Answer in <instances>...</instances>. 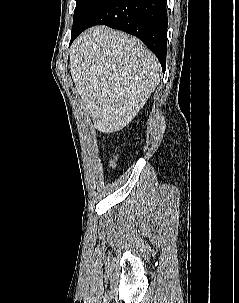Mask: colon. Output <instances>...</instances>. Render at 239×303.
<instances>
[{
  "instance_id": "colon-1",
  "label": "colon",
  "mask_w": 239,
  "mask_h": 303,
  "mask_svg": "<svg viewBox=\"0 0 239 303\" xmlns=\"http://www.w3.org/2000/svg\"><path fill=\"white\" fill-rule=\"evenodd\" d=\"M109 167H110V168L115 167V160L110 161Z\"/></svg>"
}]
</instances>
